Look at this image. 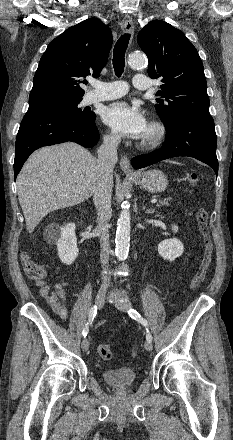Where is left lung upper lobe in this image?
Masks as SVG:
<instances>
[{
    "instance_id": "1",
    "label": "left lung upper lobe",
    "mask_w": 233,
    "mask_h": 440,
    "mask_svg": "<svg viewBox=\"0 0 233 440\" xmlns=\"http://www.w3.org/2000/svg\"><path fill=\"white\" fill-rule=\"evenodd\" d=\"M138 44L148 57L149 76L162 78L163 84L157 94L164 100L158 101L155 108L166 130L173 129L185 113H209L200 56L180 30L164 21L154 20L141 30Z\"/></svg>"
}]
</instances>
